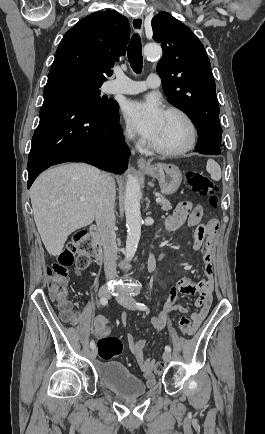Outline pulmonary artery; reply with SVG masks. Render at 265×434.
<instances>
[{
	"label": "pulmonary artery",
	"mask_w": 265,
	"mask_h": 434,
	"mask_svg": "<svg viewBox=\"0 0 265 434\" xmlns=\"http://www.w3.org/2000/svg\"><path fill=\"white\" fill-rule=\"evenodd\" d=\"M116 80H131L121 72L115 74ZM159 84V77L156 74L146 75L145 81H114V84L107 88L109 94H137L143 90H151L153 85Z\"/></svg>",
	"instance_id": "obj_1"
}]
</instances>
